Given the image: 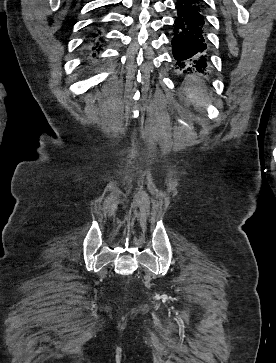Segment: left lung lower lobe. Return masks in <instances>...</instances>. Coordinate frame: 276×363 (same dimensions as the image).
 I'll use <instances>...</instances> for the list:
<instances>
[{
    "label": "left lung lower lobe",
    "mask_w": 276,
    "mask_h": 363,
    "mask_svg": "<svg viewBox=\"0 0 276 363\" xmlns=\"http://www.w3.org/2000/svg\"><path fill=\"white\" fill-rule=\"evenodd\" d=\"M172 38L176 69L204 72L210 65L204 0H176Z\"/></svg>",
    "instance_id": "obj_1"
}]
</instances>
